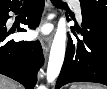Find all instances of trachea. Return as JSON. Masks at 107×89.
I'll list each match as a JSON object with an SVG mask.
<instances>
[{
  "label": "trachea",
  "instance_id": "1",
  "mask_svg": "<svg viewBox=\"0 0 107 89\" xmlns=\"http://www.w3.org/2000/svg\"><path fill=\"white\" fill-rule=\"evenodd\" d=\"M51 2H52L54 5H66V3H64V2L61 1V0H51Z\"/></svg>",
  "mask_w": 107,
  "mask_h": 89
}]
</instances>
